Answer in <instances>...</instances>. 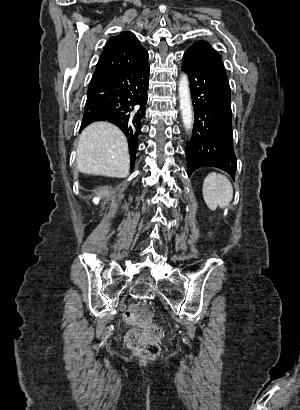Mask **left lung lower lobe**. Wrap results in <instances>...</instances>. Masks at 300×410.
I'll use <instances>...</instances> for the list:
<instances>
[{
	"instance_id": "obj_1",
	"label": "left lung lower lobe",
	"mask_w": 300,
	"mask_h": 410,
	"mask_svg": "<svg viewBox=\"0 0 300 410\" xmlns=\"http://www.w3.org/2000/svg\"><path fill=\"white\" fill-rule=\"evenodd\" d=\"M188 74L195 122L186 146L188 176L200 166H213L232 177L237 168L233 150L231 91L226 72L183 55Z\"/></svg>"
}]
</instances>
